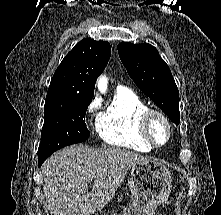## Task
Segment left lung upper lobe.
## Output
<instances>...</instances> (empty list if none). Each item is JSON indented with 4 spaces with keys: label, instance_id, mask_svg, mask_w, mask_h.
<instances>
[{
    "label": "left lung upper lobe",
    "instance_id": "left-lung-upper-lobe-1",
    "mask_svg": "<svg viewBox=\"0 0 221 215\" xmlns=\"http://www.w3.org/2000/svg\"><path fill=\"white\" fill-rule=\"evenodd\" d=\"M120 59L138 88L176 124L180 123L179 91L158 50L147 43L118 44Z\"/></svg>",
    "mask_w": 221,
    "mask_h": 215
}]
</instances>
